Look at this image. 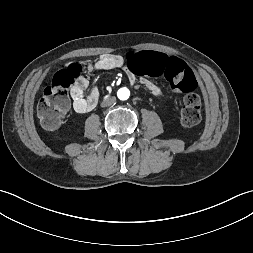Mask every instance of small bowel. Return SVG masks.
Returning <instances> with one entry per match:
<instances>
[{
	"label": "small bowel",
	"instance_id": "small-bowel-1",
	"mask_svg": "<svg viewBox=\"0 0 253 253\" xmlns=\"http://www.w3.org/2000/svg\"><path fill=\"white\" fill-rule=\"evenodd\" d=\"M149 51V50H146ZM158 52V51H152ZM132 53V52H130ZM114 53L102 54L95 62L90 63L86 66L89 72L100 71V70H114L121 68L127 64V57ZM162 53V52H158ZM126 73L129 79V82L135 85L137 82H140L145 89L153 95L160 94V87L155 84L153 81L148 79L147 76H141L134 73L129 67H126ZM88 88V81L85 77H79L71 89V98L73 100V107L78 113H87L95 108L99 100V91L97 88H92L88 94H85L86 89Z\"/></svg>",
	"mask_w": 253,
	"mask_h": 253
}]
</instances>
